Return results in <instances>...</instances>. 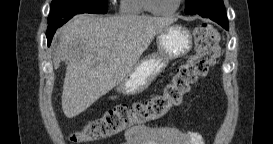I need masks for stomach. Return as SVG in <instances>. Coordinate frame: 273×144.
<instances>
[{
  "label": "stomach",
  "instance_id": "stomach-1",
  "mask_svg": "<svg viewBox=\"0 0 273 144\" xmlns=\"http://www.w3.org/2000/svg\"><path fill=\"white\" fill-rule=\"evenodd\" d=\"M157 52L144 56L117 87L123 95H134L145 90L161 73L170 60L180 58L192 48L190 31L178 24L168 26L158 33Z\"/></svg>",
  "mask_w": 273,
  "mask_h": 144
}]
</instances>
